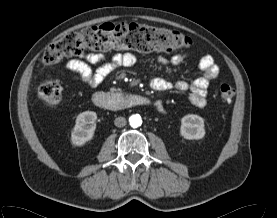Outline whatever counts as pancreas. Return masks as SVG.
<instances>
[{"label": "pancreas", "mask_w": 277, "mask_h": 218, "mask_svg": "<svg viewBox=\"0 0 277 218\" xmlns=\"http://www.w3.org/2000/svg\"><path fill=\"white\" fill-rule=\"evenodd\" d=\"M112 91H113V92H114V91H117V89L113 88Z\"/></svg>", "instance_id": "cf45deb5"}]
</instances>
